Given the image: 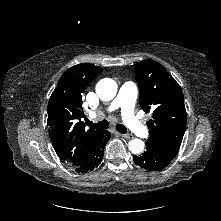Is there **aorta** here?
I'll return each instance as SVG.
<instances>
[{"label":"aorta","mask_w":221,"mask_h":221,"mask_svg":"<svg viewBox=\"0 0 221 221\" xmlns=\"http://www.w3.org/2000/svg\"><path fill=\"white\" fill-rule=\"evenodd\" d=\"M96 94L103 101L112 100L117 94V84L110 78L101 79L96 85ZM129 150L133 154H139L144 150V142L133 139L129 142Z\"/></svg>","instance_id":"aorta-1"}]
</instances>
